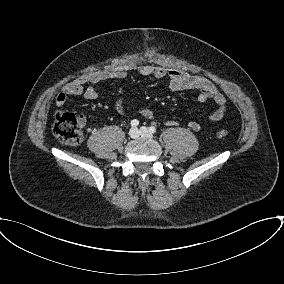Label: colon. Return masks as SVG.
Instances as JSON below:
<instances>
[{
	"mask_svg": "<svg viewBox=\"0 0 284 284\" xmlns=\"http://www.w3.org/2000/svg\"><path fill=\"white\" fill-rule=\"evenodd\" d=\"M81 126L82 118L80 116L70 112L60 111L55 115L52 132L62 143L78 145L83 139ZM217 136L219 138H224L227 136V131L225 129H220L217 131Z\"/></svg>",
	"mask_w": 284,
	"mask_h": 284,
	"instance_id": "colon-1",
	"label": "colon"
}]
</instances>
